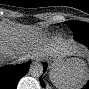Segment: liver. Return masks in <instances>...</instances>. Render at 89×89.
<instances>
[{
    "instance_id": "1",
    "label": "liver",
    "mask_w": 89,
    "mask_h": 89,
    "mask_svg": "<svg viewBox=\"0 0 89 89\" xmlns=\"http://www.w3.org/2000/svg\"><path fill=\"white\" fill-rule=\"evenodd\" d=\"M32 52L37 53L48 60L63 59L68 55H79L82 53L65 43L46 42L43 34L37 27L22 25H2L0 28V53L1 61L17 59L22 61Z\"/></svg>"
}]
</instances>
